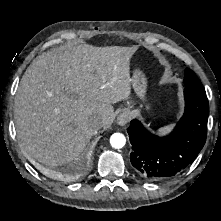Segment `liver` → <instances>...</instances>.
Wrapping results in <instances>:
<instances>
[{"label":"liver","mask_w":221,"mask_h":221,"mask_svg":"<svg viewBox=\"0 0 221 221\" xmlns=\"http://www.w3.org/2000/svg\"><path fill=\"white\" fill-rule=\"evenodd\" d=\"M138 46L78 45L46 52L27 68L14 103L20 145L47 166L79 157L97 133L89 123L114 120L112 104L131 93L130 59Z\"/></svg>","instance_id":"6515ba94"}]
</instances>
